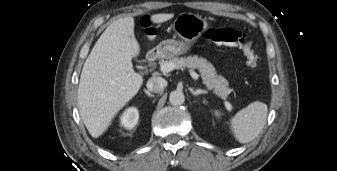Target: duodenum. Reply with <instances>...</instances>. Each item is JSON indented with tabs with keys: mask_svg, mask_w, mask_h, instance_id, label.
I'll return each instance as SVG.
<instances>
[{
	"mask_svg": "<svg viewBox=\"0 0 337 171\" xmlns=\"http://www.w3.org/2000/svg\"><path fill=\"white\" fill-rule=\"evenodd\" d=\"M162 51L158 48L150 50L147 54V62L150 67H153L157 60L161 57Z\"/></svg>",
	"mask_w": 337,
	"mask_h": 171,
	"instance_id": "duodenum-1",
	"label": "duodenum"
}]
</instances>
